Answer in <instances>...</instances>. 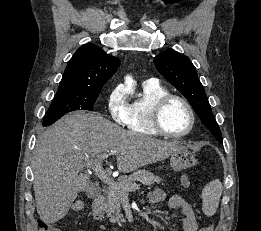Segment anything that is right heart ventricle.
<instances>
[{"instance_id":"e07e8e85","label":"right heart ventricle","mask_w":261,"mask_h":231,"mask_svg":"<svg viewBox=\"0 0 261 231\" xmlns=\"http://www.w3.org/2000/svg\"><path fill=\"white\" fill-rule=\"evenodd\" d=\"M168 93V90L159 84H144L140 97L128 104L126 128L142 136H157L159 133L151 121L152 110L155 103Z\"/></svg>"}]
</instances>
